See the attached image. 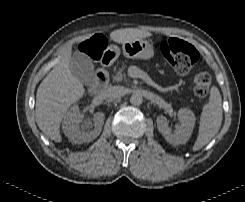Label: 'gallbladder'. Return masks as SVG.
Listing matches in <instances>:
<instances>
[{
  "label": "gallbladder",
  "mask_w": 245,
  "mask_h": 202,
  "mask_svg": "<svg viewBox=\"0 0 245 202\" xmlns=\"http://www.w3.org/2000/svg\"><path fill=\"white\" fill-rule=\"evenodd\" d=\"M70 71L83 84H88L95 78L94 65L91 58L79 51L74 52L70 59Z\"/></svg>",
  "instance_id": "gallbladder-1"
}]
</instances>
